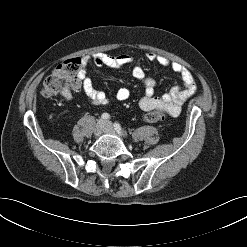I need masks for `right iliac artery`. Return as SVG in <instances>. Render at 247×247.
Segmentation results:
<instances>
[{
	"instance_id": "1",
	"label": "right iliac artery",
	"mask_w": 247,
	"mask_h": 247,
	"mask_svg": "<svg viewBox=\"0 0 247 247\" xmlns=\"http://www.w3.org/2000/svg\"><path fill=\"white\" fill-rule=\"evenodd\" d=\"M102 118H103L104 120H108V119L110 118V115H109L108 113H103V114H102Z\"/></svg>"
}]
</instances>
